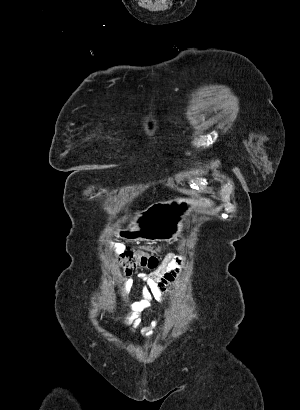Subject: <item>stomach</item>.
<instances>
[{
    "instance_id": "1",
    "label": "stomach",
    "mask_w": 300,
    "mask_h": 410,
    "mask_svg": "<svg viewBox=\"0 0 300 410\" xmlns=\"http://www.w3.org/2000/svg\"><path fill=\"white\" fill-rule=\"evenodd\" d=\"M214 207L208 198H182L155 204L138 212L130 223L117 231L118 237L128 241H168L183 230V222L196 209Z\"/></svg>"
}]
</instances>
